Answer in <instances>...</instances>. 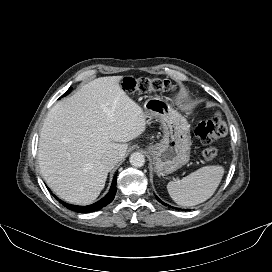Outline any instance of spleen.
I'll list each match as a JSON object with an SVG mask.
<instances>
[{"instance_id":"3e777b00","label":"spleen","mask_w":272,"mask_h":272,"mask_svg":"<svg viewBox=\"0 0 272 272\" xmlns=\"http://www.w3.org/2000/svg\"><path fill=\"white\" fill-rule=\"evenodd\" d=\"M223 175L222 166H205L181 180L170 181L167 190L178 205L187 207L198 205L214 194Z\"/></svg>"}]
</instances>
